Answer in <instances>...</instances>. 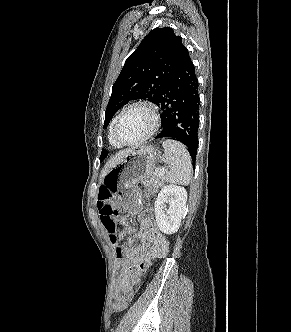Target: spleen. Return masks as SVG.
<instances>
[{
    "label": "spleen",
    "mask_w": 291,
    "mask_h": 332,
    "mask_svg": "<svg viewBox=\"0 0 291 332\" xmlns=\"http://www.w3.org/2000/svg\"><path fill=\"white\" fill-rule=\"evenodd\" d=\"M162 146L164 148L162 160L169 167L165 175L166 181L188 185L192 176V161L188 150L182 143L171 139L165 140Z\"/></svg>",
    "instance_id": "1"
}]
</instances>
